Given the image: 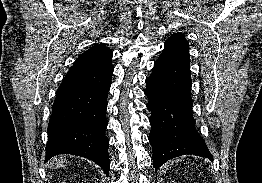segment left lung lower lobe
<instances>
[{
	"label": "left lung lower lobe",
	"instance_id": "obj_1",
	"mask_svg": "<svg viewBox=\"0 0 262 183\" xmlns=\"http://www.w3.org/2000/svg\"><path fill=\"white\" fill-rule=\"evenodd\" d=\"M190 57L182 51L164 48L146 78L147 108L151 111L149 141L153 164L181 155H197L212 160L205 141L195 128L192 114Z\"/></svg>",
	"mask_w": 262,
	"mask_h": 183
}]
</instances>
